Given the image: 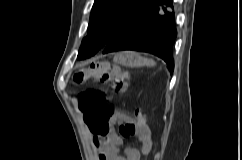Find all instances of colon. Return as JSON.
Listing matches in <instances>:
<instances>
[{
	"instance_id": "obj_1",
	"label": "colon",
	"mask_w": 242,
	"mask_h": 160,
	"mask_svg": "<svg viewBox=\"0 0 242 160\" xmlns=\"http://www.w3.org/2000/svg\"><path fill=\"white\" fill-rule=\"evenodd\" d=\"M89 79L108 83L113 92H121L127 85L128 76L117 65L103 61L80 67L74 77L76 83H82ZM79 106L84 111V120L90 130L96 135H104L108 131L109 123L116 112L107 102L104 93L98 90L82 92ZM123 131L127 132V129L124 128ZM134 131L133 127L130 128L125 137L130 138Z\"/></svg>"
}]
</instances>
